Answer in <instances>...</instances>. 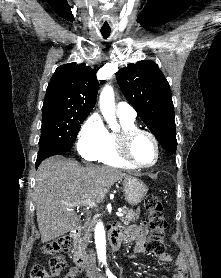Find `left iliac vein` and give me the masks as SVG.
Wrapping results in <instances>:
<instances>
[{
    "mask_svg": "<svg viewBox=\"0 0 221 278\" xmlns=\"http://www.w3.org/2000/svg\"><path fill=\"white\" fill-rule=\"evenodd\" d=\"M96 278H106V277L103 276L102 274H98Z\"/></svg>",
    "mask_w": 221,
    "mask_h": 278,
    "instance_id": "left-iliac-vein-1",
    "label": "left iliac vein"
}]
</instances>
